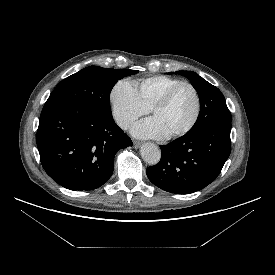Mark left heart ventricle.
<instances>
[{"instance_id": "obj_1", "label": "left heart ventricle", "mask_w": 275, "mask_h": 275, "mask_svg": "<svg viewBox=\"0 0 275 275\" xmlns=\"http://www.w3.org/2000/svg\"><path fill=\"white\" fill-rule=\"evenodd\" d=\"M196 109V99L193 91L188 87L180 88L170 103L156 110L154 117L167 135L184 128L193 118Z\"/></svg>"}]
</instances>
